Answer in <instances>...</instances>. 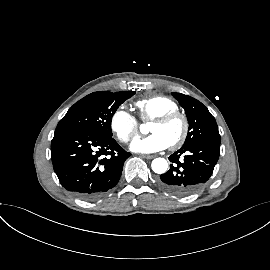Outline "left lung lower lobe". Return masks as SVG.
I'll use <instances>...</instances> for the list:
<instances>
[{"label": "left lung lower lobe", "mask_w": 270, "mask_h": 270, "mask_svg": "<svg viewBox=\"0 0 270 270\" xmlns=\"http://www.w3.org/2000/svg\"><path fill=\"white\" fill-rule=\"evenodd\" d=\"M219 154L220 144L217 143L196 142L182 146L169 157L172 164L160 175V186L179 196L196 192L211 177Z\"/></svg>", "instance_id": "left-lung-lower-lobe-1"}]
</instances>
